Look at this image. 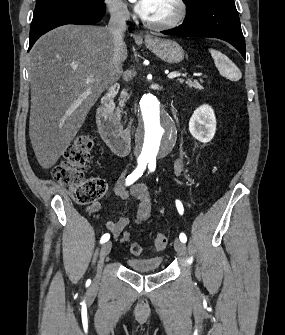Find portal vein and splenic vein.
<instances>
[{
	"label": "portal vein and splenic vein",
	"mask_w": 285,
	"mask_h": 335,
	"mask_svg": "<svg viewBox=\"0 0 285 335\" xmlns=\"http://www.w3.org/2000/svg\"><path fill=\"white\" fill-rule=\"evenodd\" d=\"M178 76H184V74H178V72H171V74H168L167 78H178ZM85 82H93V76H87L85 78Z\"/></svg>",
	"instance_id": "18ae733b"
}]
</instances>
